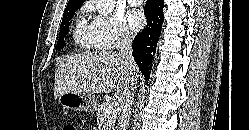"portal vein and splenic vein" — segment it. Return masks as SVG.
I'll use <instances>...</instances> for the list:
<instances>
[{
	"mask_svg": "<svg viewBox=\"0 0 249 130\" xmlns=\"http://www.w3.org/2000/svg\"><path fill=\"white\" fill-rule=\"evenodd\" d=\"M119 111V106L117 103H112L109 105V107L106 109L104 116L109 117V116H116Z\"/></svg>",
	"mask_w": 249,
	"mask_h": 130,
	"instance_id": "portal-vein-and-splenic-vein-1",
	"label": "portal vein and splenic vein"
}]
</instances>
